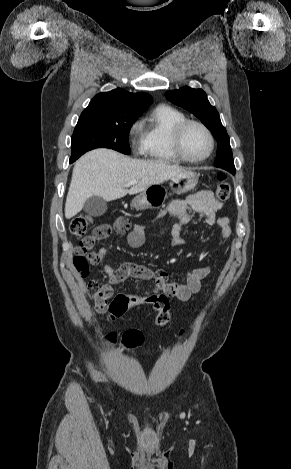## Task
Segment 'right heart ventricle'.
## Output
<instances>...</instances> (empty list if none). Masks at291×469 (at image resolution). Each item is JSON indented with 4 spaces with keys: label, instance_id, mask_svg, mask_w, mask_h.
<instances>
[{
    "label": "right heart ventricle",
    "instance_id": "e07e8e85",
    "mask_svg": "<svg viewBox=\"0 0 291 469\" xmlns=\"http://www.w3.org/2000/svg\"><path fill=\"white\" fill-rule=\"evenodd\" d=\"M184 113L168 105L154 108L143 121L141 137V153L152 161L161 163H178L172 146L174 127L185 120Z\"/></svg>",
    "mask_w": 291,
    "mask_h": 469
}]
</instances>
